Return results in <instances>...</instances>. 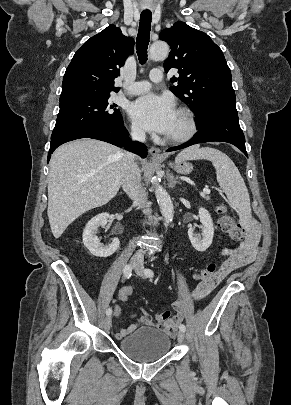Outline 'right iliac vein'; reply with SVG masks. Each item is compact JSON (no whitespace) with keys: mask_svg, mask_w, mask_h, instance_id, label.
I'll use <instances>...</instances> for the list:
<instances>
[{"mask_svg":"<svg viewBox=\"0 0 291 405\" xmlns=\"http://www.w3.org/2000/svg\"><path fill=\"white\" fill-rule=\"evenodd\" d=\"M130 266H131L133 269H136V268L139 266V264H138L137 260L132 259V260L130 261ZM103 324H104L105 330H109L110 327H111V317H110V316L105 317Z\"/></svg>","mask_w":291,"mask_h":405,"instance_id":"obj_1","label":"right iliac vein"}]
</instances>
